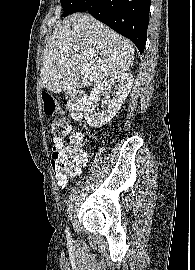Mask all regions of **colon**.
<instances>
[{"label":"colon","mask_w":195,"mask_h":270,"mask_svg":"<svg viewBox=\"0 0 195 270\" xmlns=\"http://www.w3.org/2000/svg\"><path fill=\"white\" fill-rule=\"evenodd\" d=\"M64 104L74 118H81L86 107L87 97L82 91H70L64 95ZM43 111L48 116L58 115L52 121V132L57 138H64L69 126L68 120L62 116L57 99L49 94H42ZM81 137L73 134L58 147L53 148L52 166L56 180L65 186L69 177L76 175L86 161V154L80 145Z\"/></svg>","instance_id":"1"}]
</instances>
